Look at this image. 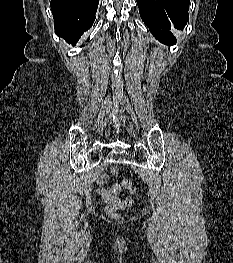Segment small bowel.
<instances>
[{"instance_id": "small-bowel-1", "label": "small bowel", "mask_w": 233, "mask_h": 263, "mask_svg": "<svg viewBox=\"0 0 233 263\" xmlns=\"http://www.w3.org/2000/svg\"><path fill=\"white\" fill-rule=\"evenodd\" d=\"M98 188L97 194L101 198L102 202L108 205H118L121 203L120 199L118 198V194L120 192V186L117 184L108 185L109 183V176L104 174L98 178Z\"/></svg>"}]
</instances>
